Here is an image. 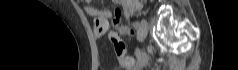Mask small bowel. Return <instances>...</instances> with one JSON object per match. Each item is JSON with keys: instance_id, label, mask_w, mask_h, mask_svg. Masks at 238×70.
I'll use <instances>...</instances> for the list:
<instances>
[{"instance_id": "c3829d8e", "label": "small bowel", "mask_w": 238, "mask_h": 70, "mask_svg": "<svg viewBox=\"0 0 238 70\" xmlns=\"http://www.w3.org/2000/svg\"><path fill=\"white\" fill-rule=\"evenodd\" d=\"M83 10L91 17L94 18V32L97 36H102L110 27V19L112 13L110 11H100L91 5L90 0H81ZM121 11L116 9L115 18L113 21L114 26L119 33H127V29L121 25ZM116 33V32H115Z\"/></svg>"}]
</instances>
